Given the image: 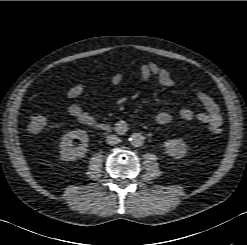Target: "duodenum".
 <instances>
[{
  "mask_svg": "<svg viewBox=\"0 0 247 245\" xmlns=\"http://www.w3.org/2000/svg\"><path fill=\"white\" fill-rule=\"evenodd\" d=\"M100 129L103 131H107V130H109V126L108 125H101Z\"/></svg>",
  "mask_w": 247,
  "mask_h": 245,
  "instance_id": "obj_1",
  "label": "duodenum"
}]
</instances>
